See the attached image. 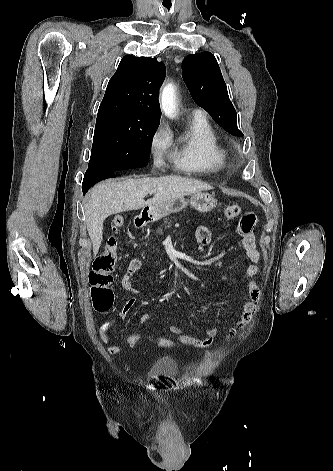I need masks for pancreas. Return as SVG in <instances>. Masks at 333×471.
I'll return each instance as SVG.
<instances>
[{"label": "pancreas", "mask_w": 333, "mask_h": 471, "mask_svg": "<svg viewBox=\"0 0 333 471\" xmlns=\"http://www.w3.org/2000/svg\"><path fill=\"white\" fill-rule=\"evenodd\" d=\"M170 226V221L168 219H165L162 226L157 229L158 234H163V229H167Z\"/></svg>", "instance_id": "obj_1"}]
</instances>
